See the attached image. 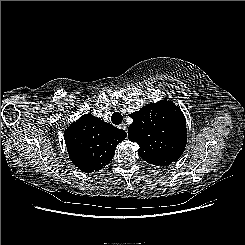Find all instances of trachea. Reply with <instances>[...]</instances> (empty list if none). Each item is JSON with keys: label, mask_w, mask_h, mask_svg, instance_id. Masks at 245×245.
<instances>
[{"label": "trachea", "mask_w": 245, "mask_h": 245, "mask_svg": "<svg viewBox=\"0 0 245 245\" xmlns=\"http://www.w3.org/2000/svg\"><path fill=\"white\" fill-rule=\"evenodd\" d=\"M122 120H123V117L119 112H114L111 116V121L115 125L121 124Z\"/></svg>", "instance_id": "obj_1"}]
</instances>
